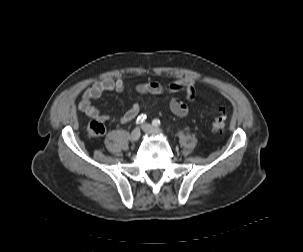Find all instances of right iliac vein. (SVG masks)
<instances>
[{
	"mask_svg": "<svg viewBox=\"0 0 303 252\" xmlns=\"http://www.w3.org/2000/svg\"><path fill=\"white\" fill-rule=\"evenodd\" d=\"M140 129L139 128H135L132 132H131V135H130V140L133 141V142H136L139 140L140 138Z\"/></svg>",
	"mask_w": 303,
	"mask_h": 252,
	"instance_id": "63e3f726",
	"label": "right iliac vein"
}]
</instances>
